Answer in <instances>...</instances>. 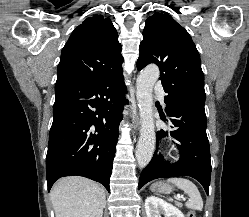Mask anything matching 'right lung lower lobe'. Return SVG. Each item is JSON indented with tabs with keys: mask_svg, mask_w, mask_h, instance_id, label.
<instances>
[{
	"mask_svg": "<svg viewBox=\"0 0 249 217\" xmlns=\"http://www.w3.org/2000/svg\"><path fill=\"white\" fill-rule=\"evenodd\" d=\"M125 93L122 72L95 83L55 85L46 156L48 191L57 179L70 175L90 178L110 190Z\"/></svg>",
	"mask_w": 249,
	"mask_h": 217,
	"instance_id": "1",
	"label": "right lung lower lobe"
}]
</instances>
